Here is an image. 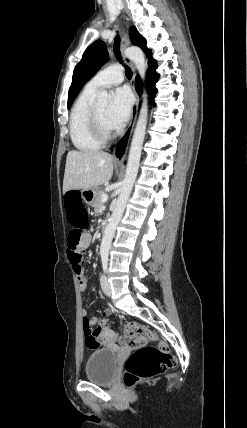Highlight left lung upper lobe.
<instances>
[{"label": "left lung upper lobe", "mask_w": 247, "mask_h": 428, "mask_svg": "<svg viewBox=\"0 0 247 428\" xmlns=\"http://www.w3.org/2000/svg\"><path fill=\"white\" fill-rule=\"evenodd\" d=\"M130 39L132 44L142 48L148 57L151 56L150 50L146 47V40L139 34L134 26L130 28ZM107 61L108 52L106 44L103 41L97 40L85 50L82 60L77 64L73 73L72 84L68 96V109L71 107L76 95L84 84L92 78Z\"/></svg>", "instance_id": "left-lung-upper-lobe-1"}]
</instances>
